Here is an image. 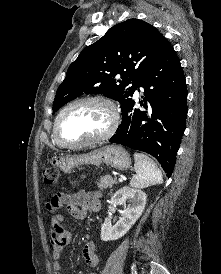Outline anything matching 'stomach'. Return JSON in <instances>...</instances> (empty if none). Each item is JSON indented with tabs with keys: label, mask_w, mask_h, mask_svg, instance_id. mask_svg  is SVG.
Listing matches in <instances>:
<instances>
[{
	"label": "stomach",
	"mask_w": 221,
	"mask_h": 274,
	"mask_svg": "<svg viewBox=\"0 0 221 274\" xmlns=\"http://www.w3.org/2000/svg\"><path fill=\"white\" fill-rule=\"evenodd\" d=\"M102 163L118 170H127L131 159L128 152L115 145L105 146L89 153L53 157L51 164L58 167L64 173H70L75 167L83 164L99 166Z\"/></svg>",
	"instance_id": "obj_1"
}]
</instances>
